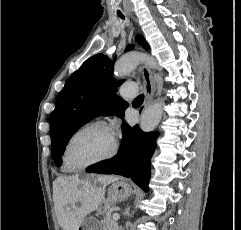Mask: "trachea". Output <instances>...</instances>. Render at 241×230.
Segmentation results:
<instances>
[{
  "label": "trachea",
  "instance_id": "3493384b",
  "mask_svg": "<svg viewBox=\"0 0 241 230\" xmlns=\"http://www.w3.org/2000/svg\"><path fill=\"white\" fill-rule=\"evenodd\" d=\"M118 16L121 18V19H124V15L122 14H118ZM144 100V96L143 95H139L137 98L134 99L133 103H138V104H141Z\"/></svg>",
  "mask_w": 241,
  "mask_h": 230
}]
</instances>
